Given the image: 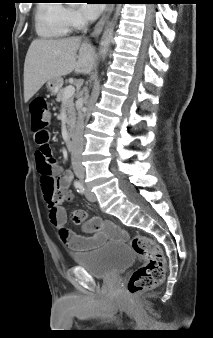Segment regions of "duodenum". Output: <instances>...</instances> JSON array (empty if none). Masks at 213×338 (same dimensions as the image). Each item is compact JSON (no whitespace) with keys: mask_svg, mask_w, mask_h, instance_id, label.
Wrapping results in <instances>:
<instances>
[{"mask_svg":"<svg viewBox=\"0 0 213 338\" xmlns=\"http://www.w3.org/2000/svg\"><path fill=\"white\" fill-rule=\"evenodd\" d=\"M73 139H74V128H71L70 133H69V137H68V140H67V143H66L68 150L72 149Z\"/></svg>","mask_w":213,"mask_h":338,"instance_id":"410a0bca","label":"duodenum"}]
</instances>
